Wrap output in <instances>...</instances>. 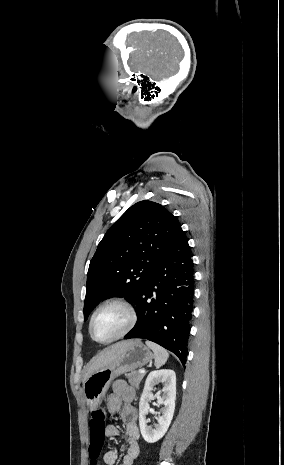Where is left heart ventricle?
<instances>
[{
  "label": "left heart ventricle",
  "instance_id": "1",
  "mask_svg": "<svg viewBox=\"0 0 284 465\" xmlns=\"http://www.w3.org/2000/svg\"><path fill=\"white\" fill-rule=\"evenodd\" d=\"M128 316L118 307H106L94 317L91 333L95 340L106 341L119 335L126 327Z\"/></svg>",
  "mask_w": 284,
  "mask_h": 465
}]
</instances>
